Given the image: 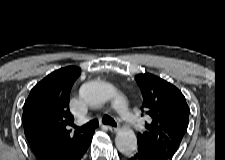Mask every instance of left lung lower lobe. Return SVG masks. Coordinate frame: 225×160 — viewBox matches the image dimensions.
Returning <instances> with one entry per match:
<instances>
[{
    "mask_svg": "<svg viewBox=\"0 0 225 160\" xmlns=\"http://www.w3.org/2000/svg\"><path fill=\"white\" fill-rule=\"evenodd\" d=\"M129 160H165L153 153L138 149V151L129 158Z\"/></svg>",
    "mask_w": 225,
    "mask_h": 160,
    "instance_id": "1",
    "label": "left lung lower lobe"
}]
</instances>
